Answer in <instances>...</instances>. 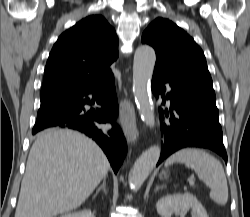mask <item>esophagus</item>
Returning <instances> with one entry per match:
<instances>
[{"label":"esophagus","instance_id":"1","mask_svg":"<svg viewBox=\"0 0 250 217\" xmlns=\"http://www.w3.org/2000/svg\"><path fill=\"white\" fill-rule=\"evenodd\" d=\"M120 119L127 142L129 144H135L138 139L135 110L133 104L127 98H124L120 103Z\"/></svg>","mask_w":250,"mask_h":217}]
</instances>
